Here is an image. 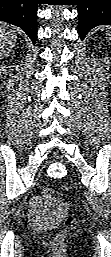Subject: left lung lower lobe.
I'll use <instances>...</instances> for the list:
<instances>
[{
    "instance_id": "1",
    "label": "left lung lower lobe",
    "mask_w": 111,
    "mask_h": 257,
    "mask_svg": "<svg viewBox=\"0 0 111 257\" xmlns=\"http://www.w3.org/2000/svg\"><path fill=\"white\" fill-rule=\"evenodd\" d=\"M78 6L81 39L98 25H111V0H79Z\"/></svg>"
}]
</instances>
